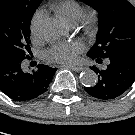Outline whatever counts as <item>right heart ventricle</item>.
Wrapping results in <instances>:
<instances>
[{
  "label": "right heart ventricle",
  "instance_id": "obj_1",
  "mask_svg": "<svg viewBox=\"0 0 135 135\" xmlns=\"http://www.w3.org/2000/svg\"><path fill=\"white\" fill-rule=\"evenodd\" d=\"M52 9L68 24L76 23L82 16L83 8L76 0H63L52 5Z\"/></svg>",
  "mask_w": 135,
  "mask_h": 135
}]
</instances>
